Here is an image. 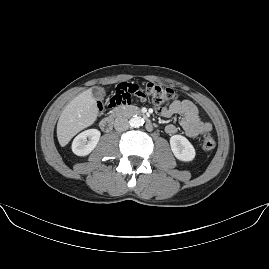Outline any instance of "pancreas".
Here are the masks:
<instances>
[{
    "instance_id": "1",
    "label": "pancreas",
    "mask_w": 269,
    "mask_h": 269,
    "mask_svg": "<svg viewBox=\"0 0 269 269\" xmlns=\"http://www.w3.org/2000/svg\"><path fill=\"white\" fill-rule=\"evenodd\" d=\"M126 110L127 111H135V110H138V107L136 106H133V105H129V106H126Z\"/></svg>"
}]
</instances>
